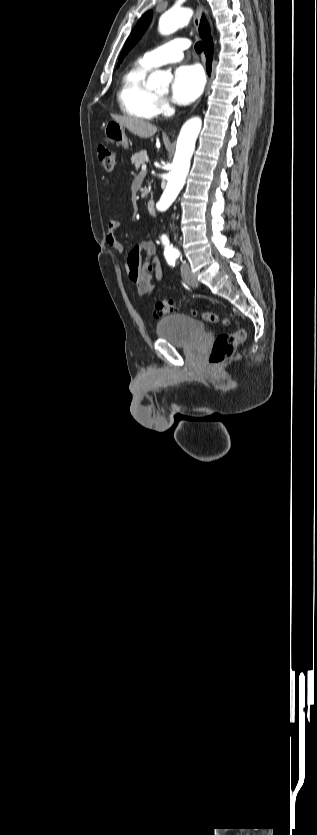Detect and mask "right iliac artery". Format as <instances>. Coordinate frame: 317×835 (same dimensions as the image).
<instances>
[{
    "label": "right iliac artery",
    "mask_w": 317,
    "mask_h": 835,
    "mask_svg": "<svg viewBox=\"0 0 317 835\" xmlns=\"http://www.w3.org/2000/svg\"><path fill=\"white\" fill-rule=\"evenodd\" d=\"M167 261H168V263H169L170 265H172V266H174V265H175V259L168 258V259H167Z\"/></svg>",
    "instance_id": "82829eb1"
}]
</instances>
